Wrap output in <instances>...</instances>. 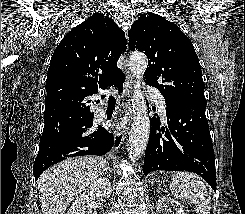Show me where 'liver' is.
<instances>
[{
    "instance_id": "liver-1",
    "label": "liver",
    "mask_w": 245,
    "mask_h": 214,
    "mask_svg": "<svg viewBox=\"0 0 245 214\" xmlns=\"http://www.w3.org/2000/svg\"><path fill=\"white\" fill-rule=\"evenodd\" d=\"M105 170V159L94 156L67 159L46 170L38 180L42 214H63L70 202Z\"/></svg>"
}]
</instances>
